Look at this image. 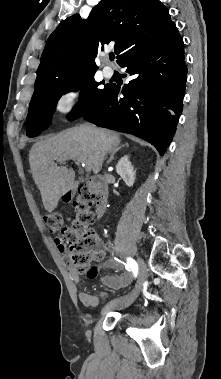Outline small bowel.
<instances>
[{
  "label": "small bowel",
  "mask_w": 221,
  "mask_h": 379,
  "mask_svg": "<svg viewBox=\"0 0 221 379\" xmlns=\"http://www.w3.org/2000/svg\"><path fill=\"white\" fill-rule=\"evenodd\" d=\"M56 241V240H55ZM58 248L60 251H63L64 249L58 244L56 241ZM101 268H112L119 270L122 268V265L115 261V260H107L103 262L100 265ZM94 274V275H93ZM99 274V267L97 264H90L88 267V272L84 273V278L92 280V278L96 277ZM70 275L73 280V282L78 285L80 284V276L78 272L74 268H70ZM102 282L111 289H121L126 286H128L132 281V275L129 271H126L120 275H108L101 278ZM107 295L106 292H102L101 296L105 297ZM79 300L86 306V307H97L99 305V298L95 295H92L91 293L87 291H79L78 293Z\"/></svg>",
  "instance_id": "small-bowel-1"
}]
</instances>
